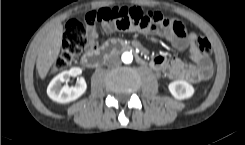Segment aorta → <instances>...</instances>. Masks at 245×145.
<instances>
[{
  "label": "aorta",
  "mask_w": 245,
  "mask_h": 145,
  "mask_svg": "<svg viewBox=\"0 0 245 145\" xmlns=\"http://www.w3.org/2000/svg\"><path fill=\"white\" fill-rule=\"evenodd\" d=\"M123 63L129 64L133 60V55L130 52H124L121 56Z\"/></svg>",
  "instance_id": "762f6f07"
}]
</instances>
